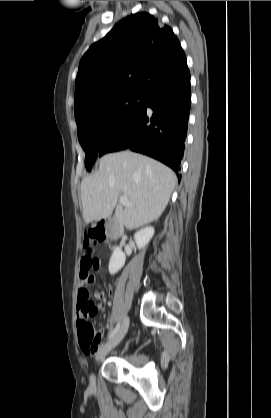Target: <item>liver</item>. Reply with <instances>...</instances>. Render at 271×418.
<instances>
[{"label":"liver","instance_id":"6515ba94","mask_svg":"<svg viewBox=\"0 0 271 418\" xmlns=\"http://www.w3.org/2000/svg\"><path fill=\"white\" fill-rule=\"evenodd\" d=\"M176 185L175 173L164 164L131 151L103 156L99 170L81 182L83 219L109 218L115 209L120 226L137 229L157 220ZM131 205H119V196Z\"/></svg>","mask_w":271,"mask_h":418}]
</instances>
